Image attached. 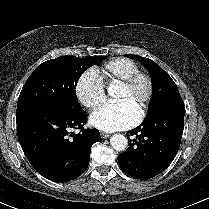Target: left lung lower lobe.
<instances>
[{
    "label": "left lung lower lobe",
    "mask_w": 209,
    "mask_h": 209,
    "mask_svg": "<svg viewBox=\"0 0 209 209\" xmlns=\"http://www.w3.org/2000/svg\"><path fill=\"white\" fill-rule=\"evenodd\" d=\"M185 107L162 109L127 132L129 148L118 155L120 168L137 179H150L165 170L176 155L184 129Z\"/></svg>",
    "instance_id": "obj_1"
}]
</instances>
